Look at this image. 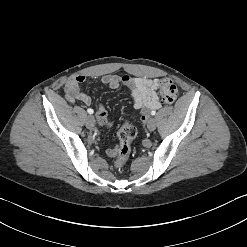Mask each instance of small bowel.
I'll return each instance as SVG.
<instances>
[{"instance_id": "c3829d8e", "label": "small bowel", "mask_w": 247, "mask_h": 247, "mask_svg": "<svg viewBox=\"0 0 247 247\" xmlns=\"http://www.w3.org/2000/svg\"><path fill=\"white\" fill-rule=\"evenodd\" d=\"M84 81L85 77L82 75H75L69 78L65 85V95L69 102L74 103L80 101L86 105L91 103V97L81 90V84ZM98 82L114 89L121 85L128 88L132 97L133 106L141 111V120L143 123L147 121L150 110L157 109L161 106L157 94L159 89L158 79L107 74L102 76ZM96 117L101 126L110 127L112 125V122L108 120L107 111L103 105L98 106ZM107 154L113 157L114 148L108 149Z\"/></svg>"}]
</instances>
